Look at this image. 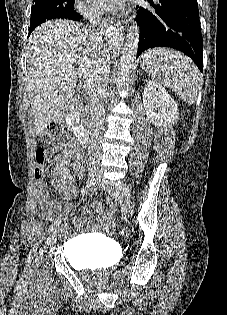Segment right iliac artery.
Returning a JSON list of instances; mask_svg holds the SVG:
<instances>
[{
  "label": "right iliac artery",
  "mask_w": 227,
  "mask_h": 315,
  "mask_svg": "<svg viewBox=\"0 0 227 315\" xmlns=\"http://www.w3.org/2000/svg\"><path fill=\"white\" fill-rule=\"evenodd\" d=\"M98 181V178H95L94 176L89 178L87 181H86V187L87 188H92L96 185ZM62 222V219L61 218H58L50 227L49 231H53L57 226H59ZM37 248H38V244H35L34 247L32 248L31 252L29 253L28 255V258L26 260V266L29 267L30 264H31V261L35 255V252L37 251Z\"/></svg>",
  "instance_id": "obj_1"
}]
</instances>
